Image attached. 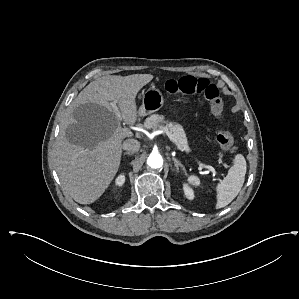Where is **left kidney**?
Here are the masks:
<instances>
[{
	"mask_svg": "<svg viewBox=\"0 0 299 299\" xmlns=\"http://www.w3.org/2000/svg\"><path fill=\"white\" fill-rule=\"evenodd\" d=\"M184 194L187 199L193 200L194 199V191L190 188L187 184L183 185Z\"/></svg>",
	"mask_w": 299,
	"mask_h": 299,
	"instance_id": "1",
	"label": "left kidney"
}]
</instances>
